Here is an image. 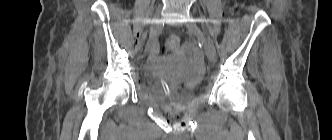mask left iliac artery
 I'll list each match as a JSON object with an SVG mask.
<instances>
[{"instance_id": "44dca946", "label": "left iliac artery", "mask_w": 332, "mask_h": 140, "mask_svg": "<svg viewBox=\"0 0 332 140\" xmlns=\"http://www.w3.org/2000/svg\"><path fill=\"white\" fill-rule=\"evenodd\" d=\"M207 40H208V45H209L210 49L212 50V52H214L216 54L215 46H214V43H213L212 39L210 38V36L207 37Z\"/></svg>"}]
</instances>
